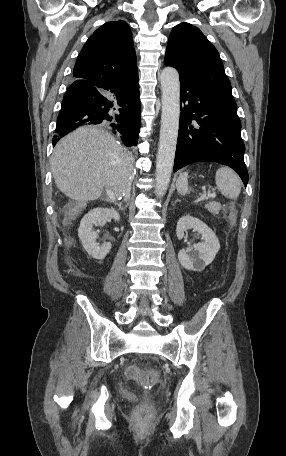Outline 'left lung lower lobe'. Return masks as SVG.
Wrapping results in <instances>:
<instances>
[{
	"mask_svg": "<svg viewBox=\"0 0 286 456\" xmlns=\"http://www.w3.org/2000/svg\"><path fill=\"white\" fill-rule=\"evenodd\" d=\"M180 84L184 107L180 106L174 172L199 161L217 162L233 168L246 187L245 146L235 101L186 77H180Z\"/></svg>",
	"mask_w": 286,
	"mask_h": 456,
	"instance_id": "obj_1",
	"label": "left lung lower lobe"
}]
</instances>
